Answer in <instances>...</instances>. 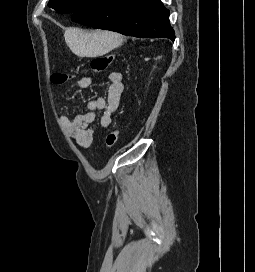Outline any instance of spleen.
<instances>
[{
    "mask_svg": "<svg viewBox=\"0 0 255 272\" xmlns=\"http://www.w3.org/2000/svg\"><path fill=\"white\" fill-rule=\"evenodd\" d=\"M71 51L80 57H96L108 53L122 43V36L109 31H85L69 28L64 34Z\"/></svg>",
    "mask_w": 255,
    "mask_h": 272,
    "instance_id": "1",
    "label": "spleen"
}]
</instances>
